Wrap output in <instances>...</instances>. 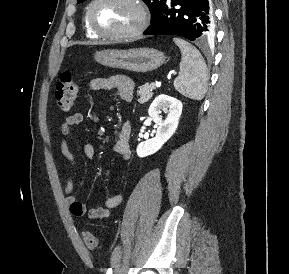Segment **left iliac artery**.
Here are the masks:
<instances>
[{
	"label": "left iliac artery",
	"mask_w": 289,
	"mask_h": 274,
	"mask_svg": "<svg viewBox=\"0 0 289 274\" xmlns=\"http://www.w3.org/2000/svg\"><path fill=\"white\" fill-rule=\"evenodd\" d=\"M112 273H113V271H112L111 268H109V269L107 270V272H106V274H112Z\"/></svg>",
	"instance_id": "obj_1"
}]
</instances>
